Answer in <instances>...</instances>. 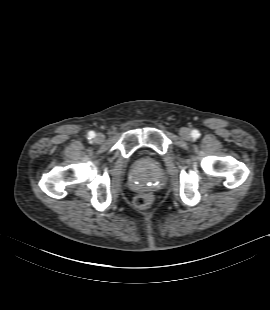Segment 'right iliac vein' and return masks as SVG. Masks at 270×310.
I'll list each match as a JSON object with an SVG mask.
<instances>
[{
    "instance_id": "1",
    "label": "right iliac vein",
    "mask_w": 270,
    "mask_h": 310,
    "mask_svg": "<svg viewBox=\"0 0 270 310\" xmlns=\"http://www.w3.org/2000/svg\"><path fill=\"white\" fill-rule=\"evenodd\" d=\"M105 139V136L101 133H98L95 138H94V141L98 144L102 143Z\"/></svg>"
}]
</instances>
